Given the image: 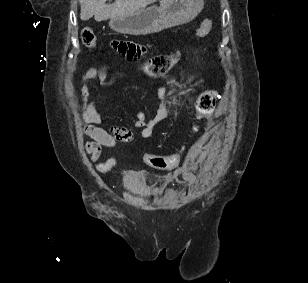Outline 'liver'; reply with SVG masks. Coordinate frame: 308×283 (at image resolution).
I'll list each match as a JSON object with an SVG mask.
<instances>
[{
    "mask_svg": "<svg viewBox=\"0 0 308 283\" xmlns=\"http://www.w3.org/2000/svg\"><path fill=\"white\" fill-rule=\"evenodd\" d=\"M107 0H79L81 20H89L93 16L100 22L110 18L131 15L156 0H115L106 4Z\"/></svg>",
    "mask_w": 308,
    "mask_h": 283,
    "instance_id": "obj_1",
    "label": "liver"
}]
</instances>
